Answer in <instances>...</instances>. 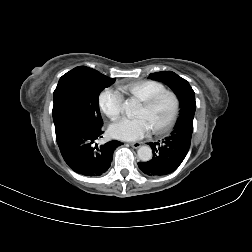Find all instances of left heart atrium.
Here are the masks:
<instances>
[{
	"label": "left heart atrium",
	"instance_id": "1",
	"mask_svg": "<svg viewBox=\"0 0 252 252\" xmlns=\"http://www.w3.org/2000/svg\"><path fill=\"white\" fill-rule=\"evenodd\" d=\"M149 127L142 117L122 118L109 128L111 136L117 139L133 141L144 137Z\"/></svg>",
	"mask_w": 252,
	"mask_h": 252
}]
</instances>
